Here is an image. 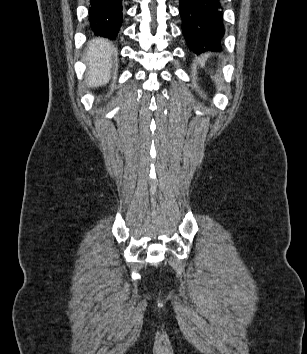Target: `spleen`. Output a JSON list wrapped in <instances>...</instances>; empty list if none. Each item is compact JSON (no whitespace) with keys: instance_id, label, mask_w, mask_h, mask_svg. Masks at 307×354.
<instances>
[{"instance_id":"3e777b00","label":"spleen","mask_w":307,"mask_h":354,"mask_svg":"<svg viewBox=\"0 0 307 354\" xmlns=\"http://www.w3.org/2000/svg\"><path fill=\"white\" fill-rule=\"evenodd\" d=\"M201 61V60H200ZM214 81L217 83V80H216V78L214 79Z\"/></svg>"}]
</instances>
